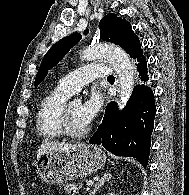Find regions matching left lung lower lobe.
Segmentation results:
<instances>
[{
  "instance_id": "obj_1",
  "label": "left lung lower lobe",
  "mask_w": 189,
  "mask_h": 195,
  "mask_svg": "<svg viewBox=\"0 0 189 195\" xmlns=\"http://www.w3.org/2000/svg\"><path fill=\"white\" fill-rule=\"evenodd\" d=\"M136 62L141 84L134 87L121 113L116 102L107 105L103 121L89 142L102 144L114 155L134 157L147 166L156 106L148 85L147 61L141 57Z\"/></svg>"
}]
</instances>
